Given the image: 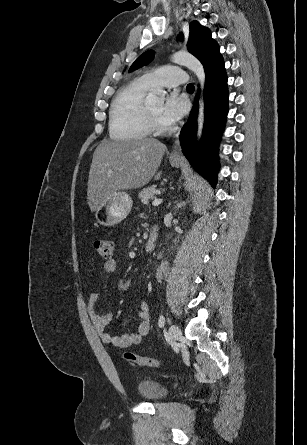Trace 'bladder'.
I'll return each instance as SVG.
<instances>
[{
	"mask_svg": "<svg viewBox=\"0 0 307 445\" xmlns=\"http://www.w3.org/2000/svg\"><path fill=\"white\" fill-rule=\"evenodd\" d=\"M137 391L143 400L151 403L163 400L168 394L164 385L149 379L140 381L137 385Z\"/></svg>",
	"mask_w": 307,
	"mask_h": 445,
	"instance_id": "bladder-1",
	"label": "bladder"
}]
</instances>
